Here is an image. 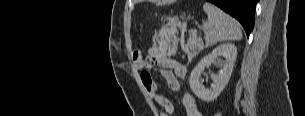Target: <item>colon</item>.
Returning a JSON list of instances; mask_svg holds the SVG:
<instances>
[{
    "label": "colon",
    "instance_id": "obj_1",
    "mask_svg": "<svg viewBox=\"0 0 305 116\" xmlns=\"http://www.w3.org/2000/svg\"><path fill=\"white\" fill-rule=\"evenodd\" d=\"M142 76H143L144 78H146V79H149V77H150V75H149L148 72H143V73H142Z\"/></svg>",
    "mask_w": 305,
    "mask_h": 116
}]
</instances>
